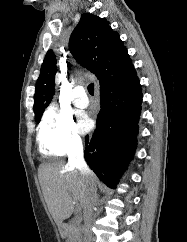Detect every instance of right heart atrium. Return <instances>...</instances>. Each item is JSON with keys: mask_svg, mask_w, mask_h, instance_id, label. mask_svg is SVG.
Returning a JSON list of instances; mask_svg holds the SVG:
<instances>
[{"mask_svg": "<svg viewBox=\"0 0 187 242\" xmlns=\"http://www.w3.org/2000/svg\"><path fill=\"white\" fill-rule=\"evenodd\" d=\"M39 144L47 154L63 156L80 149L81 138L71 114L49 107L39 126Z\"/></svg>", "mask_w": 187, "mask_h": 242, "instance_id": "1", "label": "right heart atrium"}]
</instances>
